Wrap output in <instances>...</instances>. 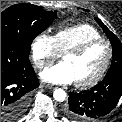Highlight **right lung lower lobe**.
<instances>
[{
	"instance_id": "98d812e1",
	"label": "right lung lower lobe",
	"mask_w": 122,
	"mask_h": 122,
	"mask_svg": "<svg viewBox=\"0 0 122 122\" xmlns=\"http://www.w3.org/2000/svg\"><path fill=\"white\" fill-rule=\"evenodd\" d=\"M38 86L29 52L1 43V122H16L26 112L29 93Z\"/></svg>"
}]
</instances>
